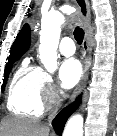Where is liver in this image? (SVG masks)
Here are the masks:
<instances>
[{
  "label": "liver",
  "mask_w": 117,
  "mask_h": 136,
  "mask_svg": "<svg viewBox=\"0 0 117 136\" xmlns=\"http://www.w3.org/2000/svg\"><path fill=\"white\" fill-rule=\"evenodd\" d=\"M3 136H49V128L36 121L7 118L2 121Z\"/></svg>",
  "instance_id": "liver-1"
}]
</instances>
